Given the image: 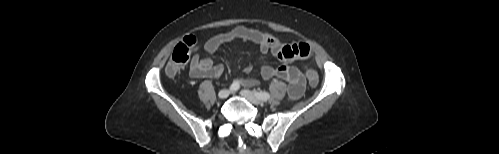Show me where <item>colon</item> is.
<instances>
[{"instance_id":"5ec220e1","label":"colon","mask_w":499,"mask_h":154,"mask_svg":"<svg viewBox=\"0 0 499 154\" xmlns=\"http://www.w3.org/2000/svg\"><path fill=\"white\" fill-rule=\"evenodd\" d=\"M197 47V40L193 36H188L184 38L182 42L177 44L172 52L170 60L166 67V73L169 76H174L178 71L183 68L192 54V52ZM305 76L308 83L314 87L318 83V74L315 70L307 68L305 70Z\"/></svg>"}]
</instances>
